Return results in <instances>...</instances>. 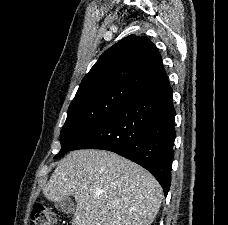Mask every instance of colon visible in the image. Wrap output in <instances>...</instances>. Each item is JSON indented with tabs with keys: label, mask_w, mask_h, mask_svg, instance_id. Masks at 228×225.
I'll list each match as a JSON object with an SVG mask.
<instances>
[{
	"label": "colon",
	"mask_w": 228,
	"mask_h": 225,
	"mask_svg": "<svg viewBox=\"0 0 228 225\" xmlns=\"http://www.w3.org/2000/svg\"><path fill=\"white\" fill-rule=\"evenodd\" d=\"M33 225H57L56 215L51 208L43 203H35L32 210Z\"/></svg>",
	"instance_id": "colon-1"
}]
</instances>
